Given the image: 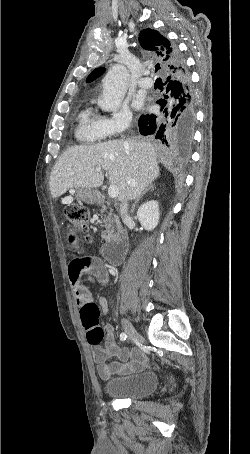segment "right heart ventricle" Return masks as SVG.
<instances>
[{
	"label": "right heart ventricle",
	"instance_id": "e07e8e85",
	"mask_svg": "<svg viewBox=\"0 0 250 454\" xmlns=\"http://www.w3.org/2000/svg\"><path fill=\"white\" fill-rule=\"evenodd\" d=\"M101 117L91 108L87 107L80 112L75 129V137L85 143H96L105 137L101 128Z\"/></svg>",
	"mask_w": 250,
	"mask_h": 454
}]
</instances>
